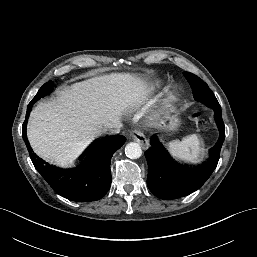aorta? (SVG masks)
<instances>
[{"label":"aorta","mask_w":257,"mask_h":257,"mask_svg":"<svg viewBox=\"0 0 257 257\" xmlns=\"http://www.w3.org/2000/svg\"><path fill=\"white\" fill-rule=\"evenodd\" d=\"M125 154L130 159H138L142 155V149L138 143L130 142L125 147Z\"/></svg>","instance_id":"1"}]
</instances>
